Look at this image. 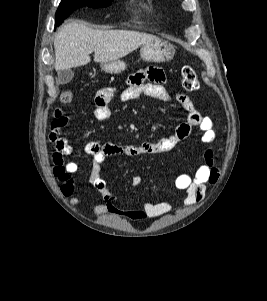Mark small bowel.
Returning a JSON list of instances; mask_svg holds the SVG:
<instances>
[{"instance_id": "c3829d8e", "label": "small bowel", "mask_w": 267, "mask_h": 301, "mask_svg": "<svg viewBox=\"0 0 267 301\" xmlns=\"http://www.w3.org/2000/svg\"><path fill=\"white\" fill-rule=\"evenodd\" d=\"M165 81V73L159 68L150 67L139 70L128 77L126 87L120 92L119 96L123 102L135 100L140 96H147L168 103L176 100L186 111L187 121L179 125L172 135L157 142L145 141L137 145H119L96 141H90L85 145V153L92 157V169L88 183L101 196V202L95 206L97 212H108L113 215L141 220L162 216L171 209V204L168 201L145 202L138 209L122 210L118 208L116 205L117 198L107 188L102 174V166L107 158L117 155L133 157L168 152L181 140L187 138L193 127L200 128L204 143L210 145L215 141L216 133L212 119L203 116L186 95L177 94L172 97L163 86ZM117 93L118 91L113 87H104L96 92L94 96V116L98 121H106L111 117L112 112L109 103ZM67 121L64 111L60 108L56 109L49 140L55 148L52 157L54 176L60 183L62 194L69 199L71 205H76L78 198L75 195V185L71 174L78 170V166L74 161H66V157L72 154L73 148L62 137V128L67 124ZM218 178L219 171L215 166L212 150L207 149L204 154V164L200 165L193 175L180 174L177 176L173 181V186L186 192L183 205L188 207L199 203L204 198L207 184H215ZM141 182L142 178L139 175L132 179L133 186H139Z\"/></svg>"}]
</instances>
